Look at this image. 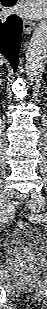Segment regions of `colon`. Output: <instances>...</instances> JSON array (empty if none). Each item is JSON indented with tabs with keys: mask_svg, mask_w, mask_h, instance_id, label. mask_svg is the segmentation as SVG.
Returning <instances> with one entry per match:
<instances>
[{
	"mask_svg": "<svg viewBox=\"0 0 47 309\" xmlns=\"http://www.w3.org/2000/svg\"><path fill=\"white\" fill-rule=\"evenodd\" d=\"M18 225H19V226H22V225H24V223H23V222H19Z\"/></svg>",
	"mask_w": 47,
	"mask_h": 309,
	"instance_id": "1",
	"label": "colon"
}]
</instances>
